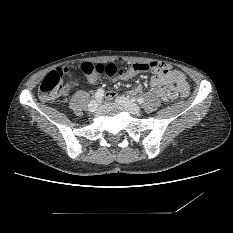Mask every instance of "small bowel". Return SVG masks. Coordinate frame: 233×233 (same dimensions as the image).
Masks as SVG:
<instances>
[{
	"instance_id": "c3829d8e",
	"label": "small bowel",
	"mask_w": 233,
	"mask_h": 233,
	"mask_svg": "<svg viewBox=\"0 0 233 233\" xmlns=\"http://www.w3.org/2000/svg\"><path fill=\"white\" fill-rule=\"evenodd\" d=\"M136 74H132L130 76L120 74L117 78L125 80L133 77ZM90 81L95 82L96 78L90 79ZM150 85L153 88L154 93L163 102H168L176 99L178 96V91L183 87H188V82L183 72L168 67H162L158 72L151 76ZM140 90V87L135 88L131 91V94L135 95L139 93ZM107 97L112 99L115 97V95L108 94Z\"/></svg>"
}]
</instances>
